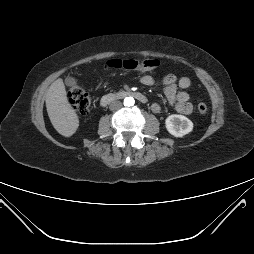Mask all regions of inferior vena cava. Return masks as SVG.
<instances>
[{"label":"inferior vena cava","instance_id":"obj_1","mask_svg":"<svg viewBox=\"0 0 254 254\" xmlns=\"http://www.w3.org/2000/svg\"><path fill=\"white\" fill-rule=\"evenodd\" d=\"M121 107H122V103H121L120 101H113V102L110 104V106H109V108H110L111 111L118 110V109H120Z\"/></svg>","mask_w":254,"mask_h":254}]
</instances>
